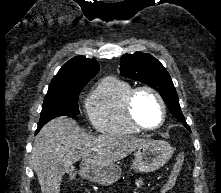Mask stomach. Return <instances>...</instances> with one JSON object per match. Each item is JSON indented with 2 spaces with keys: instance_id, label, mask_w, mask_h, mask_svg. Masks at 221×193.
I'll list each match as a JSON object with an SVG mask.
<instances>
[{
  "instance_id": "stomach-1",
  "label": "stomach",
  "mask_w": 221,
  "mask_h": 193,
  "mask_svg": "<svg viewBox=\"0 0 221 193\" xmlns=\"http://www.w3.org/2000/svg\"><path fill=\"white\" fill-rule=\"evenodd\" d=\"M173 152L174 149L168 142L149 140L134 153L131 169L138 172L158 170L170 160ZM79 174L90 181L107 186L115 183L120 178L121 169L117 164L97 166L85 160L80 165Z\"/></svg>"
}]
</instances>
